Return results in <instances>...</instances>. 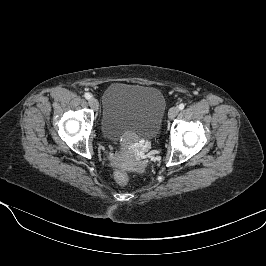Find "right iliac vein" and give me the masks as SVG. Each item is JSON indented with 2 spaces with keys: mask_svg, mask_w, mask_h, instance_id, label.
<instances>
[{
  "mask_svg": "<svg viewBox=\"0 0 266 266\" xmlns=\"http://www.w3.org/2000/svg\"><path fill=\"white\" fill-rule=\"evenodd\" d=\"M89 105H90V107H91L92 109H94V110H98L99 103H98L97 99H95V98H91V99L89 100Z\"/></svg>",
  "mask_w": 266,
  "mask_h": 266,
  "instance_id": "right-iliac-vein-1",
  "label": "right iliac vein"
}]
</instances>
